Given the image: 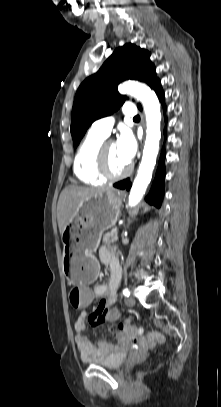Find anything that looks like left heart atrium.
I'll return each instance as SVG.
<instances>
[{
    "instance_id": "obj_1",
    "label": "left heart atrium",
    "mask_w": 221,
    "mask_h": 407,
    "mask_svg": "<svg viewBox=\"0 0 221 407\" xmlns=\"http://www.w3.org/2000/svg\"><path fill=\"white\" fill-rule=\"evenodd\" d=\"M116 147L121 158L129 163L136 153V142L129 131H123L116 142Z\"/></svg>"
}]
</instances>
